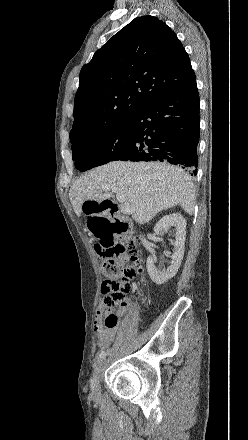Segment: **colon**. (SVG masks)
<instances>
[{
	"label": "colon",
	"mask_w": 248,
	"mask_h": 440,
	"mask_svg": "<svg viewBox=\"0 0 248 440\" xmlns=\"http://www.w3.org/2000/svg\"><path fill=\"white\" fill-rule=\"evenodd\" d=\"M106 211V218H111L113 228L117 230L121 222L119 216L113 210ZM125 224V231H127L128 224ZM136 240V238H129L124 242L101 241L95 245V252L102 259V273L106 276L101 286L102 296L99 307L111 310L116 306L125 305L126 296L131 290L132 279L142 273ZM117 324L118 316L115 313L106 314L105 325L107 327H114Z\"/></svg>",
	"instance_id": "colon-1"
}]
</instances>
